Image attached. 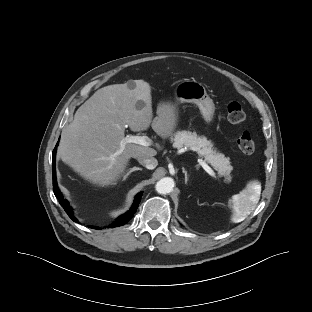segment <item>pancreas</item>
I'll list each match as a JSON object with an SVG mask.
<instances>
[{
	"mask_svg": "<svg viewBox=\"0 0 312 312\" xmlns=\"http://www.w3.org/2000/svg\"><path fill=\"white\" fill-rule=\"evenodd\" d=\"M212 143L206 137H199L196 133L188 131H179L174 135L173 147L175 148H191L204 156L205 160L210 163L221 177L225 178L226 183H230L233 167L230 165L229 158L222 153H216L212 149Z\"/></svg>",
	"mask_w": 312,
	"mask_h": 312,
	"instance_id": "cf45deb5",
	"label": "pancreas"
}]
</instances>
